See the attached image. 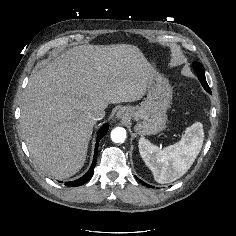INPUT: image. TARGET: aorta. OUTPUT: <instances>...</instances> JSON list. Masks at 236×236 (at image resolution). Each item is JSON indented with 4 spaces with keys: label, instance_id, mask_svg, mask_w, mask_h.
Segmentation results:
<instances>
[{
    "label": "aorta",
    "instance_id": "762f6f07",
    "mask_svg": "<svg viewBox=\"0 0 236 236\" xmlns=\"http://www.w3.org/2000/svg\"><path fill=\"white\" fill-rule=\"evenodd\" d=\"M111 139L115 143H123L126 139V130L121 127H116L111 131Z\"/></svg>",
    "mask_w": 236,
    "mask_h": 236
}]
</instances>
